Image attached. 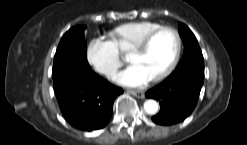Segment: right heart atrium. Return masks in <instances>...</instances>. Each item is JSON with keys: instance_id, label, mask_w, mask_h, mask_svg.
<instances>
[{"instance_id": "obj_1", "label": "right heart atrium", "mask_w": 247, "mask_h": 145, "mask_svg": "<svg viewBox=\"0 0 247 145\" xmlns=\"http://www.w3.org/2000/svg\"><path fill=\"white\" fill-rule=\"evenodd\" d=\"M87 60L99 73L107 77L112 76L122 64L119 50L111 41L99 36L90 41Z\"/></svg>"}]
</instances>
